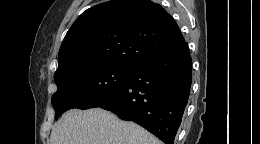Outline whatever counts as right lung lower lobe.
Returning <instances> with one entry per match:
<instances>
[{
	"label": "right lung lower lobe",
	"instance_id": "right-lung-lower-lobe-1",
	"mask_svg": "<svg viewBox=\"0 0 260 144\" xmlns=\"http://www.w3.org/2000/svg\"><path fill=\"white\" fill-rule=\"evenodd\" d=\"M191 82L192 60L184 42L132 66L126 83L94 107L141 125L165 144H174Z\"/></svg>",
	"mask_w": 260,
	"mask_h": 144
}]
</instances>
